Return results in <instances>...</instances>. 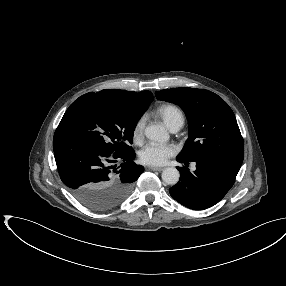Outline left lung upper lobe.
Masks as SVG:
<instances>
[{
  "label": "left lung upper lobe",
  "mask_w": 286,
  "mask_h": 286,
  "mask_svg": "<svg viewBox=\"0 0 286 286\" xmlns=\"http://www.w3.org/2000/svg\"><path fill=\"white\" fill-rule=\"evenodd\" d=\"M158 100L179 105L189 123V140L179 157L216 156L243 162L244 142L235 115L215 93L189 87L156 91Z\"/></svg>",
  "instance_id": "5c2ea615"
}]
</instances>
